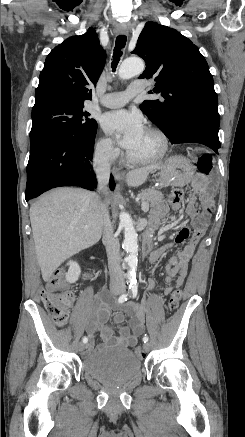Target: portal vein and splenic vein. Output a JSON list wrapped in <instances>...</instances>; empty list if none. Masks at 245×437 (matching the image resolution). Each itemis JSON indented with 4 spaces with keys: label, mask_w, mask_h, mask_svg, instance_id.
Instances as JSON below:
<instances>
[{
    "label": "portal vein and splenic vein",
    "mask_w": 245,
    "mask_h": 437,
    "mask_svg": "<svg viewBox=\"0 0 245 437\" xmlns=\"http://www.w3.org/2000/svg\"><path fill=\"white\" fill-rule=\"evenodd\" d=\"M139 199H140V196L139 197H137V201H139ZM141 208H142V210L144 211V212H148V210H149V206L147 205V204H145V203H142L141 204Z\"/></svg>",
    "instance_id": "18ae733b"
}]
</instances>
